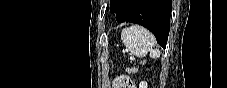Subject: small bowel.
Segmentation results:
<instances>
[{
	"label": "small bowel",
	"mask_w": 227,
	"mask_h": 88,
	"mask_svg": "<svg viewBox=\"0 0 227 88\" xmlns=\"http://www.w3.org/2000/svg\"><path fill=\"white\" fill-rule=\"evenodd\" d=\"M129 81V78L127 77H121V78H118L116 79L113 84H112V87L114 88H119V87H123V85Z\"/></svg>",
	"instance_id": "small-bowel-1"
}]
</instances>
